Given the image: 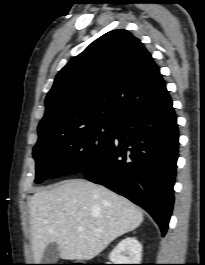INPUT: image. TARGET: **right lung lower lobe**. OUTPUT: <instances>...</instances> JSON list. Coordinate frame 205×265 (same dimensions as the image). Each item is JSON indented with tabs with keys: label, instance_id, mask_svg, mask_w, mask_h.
Listing matches in <instances>:
<instances>
[{
	"label": "right lung lower lobe",
	"instance_id": "right-lung-lower-lobe-1",
	"mask_svg": "<svg viewBox=\"0 0 205 265\" xmlns=\"http://www.w3.org/2000/svg\"><path fill=\"white\" fill-rule=\"evenodd\" d=\"M178 137L165 90L149 106L120 119L112 140L81 172L148 211L164 236L174 202Z\"/></svg>",
	"mask_w": 205,
	"mask_h": 265
}]
</instances>
